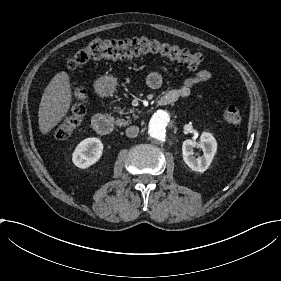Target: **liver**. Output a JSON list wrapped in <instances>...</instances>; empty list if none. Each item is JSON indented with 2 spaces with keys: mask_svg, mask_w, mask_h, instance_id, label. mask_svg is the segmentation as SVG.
<instances>
[{
  "mask_svg": "<svg viewBox=\"0 0 281 281\" xmlns=\"http://www.w3.org/2000/svg\"><path fill=\"white\" fill-rule=\"evenodd\" d=\"M71 101L69 75L62 71L52 78L41 98L38 124L42 134H47L66 116Z\"/></svg>",
  "mask_w": 281,
  "mask_h": 281,
  "instance_id": "obj_1",
  "label": "liver"
}]
</instances>
